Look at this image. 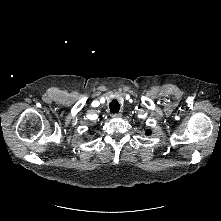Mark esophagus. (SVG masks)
<instances>
[{
  "instance_id": "34e87169",
  "label": "esophagus",
  "mask_w": 221,
  "mask_h": 221,
  "mask_svg": "<svg viewBox=\"0 0 221 221\" xmlns=\"http://www.w3.org/2000/svg\"><path fill=\"white\" fill-rule=\"evenodd\" d=\"M121 116H122L121 113L112 114V117H113V118H120Z\"/></svg>"
}]
</instances>
